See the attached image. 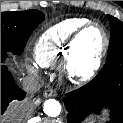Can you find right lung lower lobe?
<instances>
[{
	"instance_id": "right-lung-lower-lobe-1",
	"label": "right lung lower lobe",
	"mask_w": 123,
	"mask_h": 123,
	"mask_svg": "<svg viewBox=\"0 0 123 123\" xmlns=\"http://www.w3.org/2000/svg\"><path fill=\"white\" fill-rule=\"evenodd\" d=\"M25 95V91L17 86L6 65H1V115L12 101H21Z\"/></svg>"
}]
</instances>
